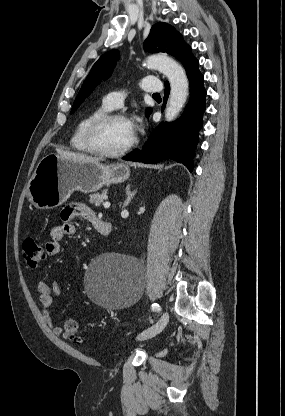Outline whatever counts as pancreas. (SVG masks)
Returning a JSON list of instances; mask_svg holds the SVG:
<instances>
[{
	"label": "pancreas",
	"instance_id": "pancreas-1",
	"mask_svg": "<svg viewBox=\"0 0 285 416\" xmlns=\"http://www.w3.org/2000/svg\"><path fill=\"white\" fill-rule=\"evenodd\" d=\"M107 194L108 190H102L101 194H90V204H94V206H100V204H103V200H105V196H107Z\"/></svg>",
	"mask_w": 285,
	"mask_h": 416
}]
</instances>
